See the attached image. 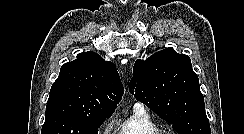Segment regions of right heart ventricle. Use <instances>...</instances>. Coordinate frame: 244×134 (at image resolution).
Segmentation results:
<instances>
[{
  "mask_svg": "<svg viewBox=\"0 0 244 134\" xmlns=\"http://www.w3.org/2000/svg\"><path fill=\"white\" fill-rule=\"evenodd\" d=\"M158 131V125L151 117L146 112L136 109L116 126L113 134H156Z\"/></svg>",
  "mask_w": 244,
  "mask_h": 134,
  "instance_id": "obj_1",
  "label": "right heart ventricle"
}]
</instances>
